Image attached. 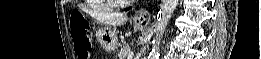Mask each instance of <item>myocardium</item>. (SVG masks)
Segmentation results:
<instances>
[{"label": "myocardium", "mask_w": 261, "mask_h": 59, "mask_svg": "<svg viewBox=\"0 0 261 59\" xmlns=\"http://www.w3.org/2000/svg\"><path fill=\"white\" fill-rule=\"evenodd\" d=\"M127 1H121V0H116L115 3L118 5H122L124 3H126Z\"/></svg>", "instance_id": "1"}]
</instances>
